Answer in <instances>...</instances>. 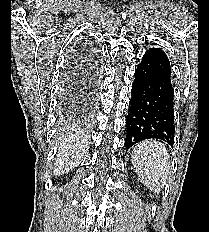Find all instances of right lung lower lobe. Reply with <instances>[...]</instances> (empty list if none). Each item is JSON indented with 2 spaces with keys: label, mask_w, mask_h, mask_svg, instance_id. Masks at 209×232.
<instances>
[{
  "label": "right lung lower lobe",
  "mask_w": 209,
  "mask_h": 232,
  "mask_svg": "<svg viewBox=\"0 0 209 232\" xmlns=\"http://www.w3.org/2000/svg\"><path fill=\"white\" fill-rule=\"evenodd\" d=\"M96 52L94 49L81 46L72 55L71 62L75 64L80 70L84 68L83 76L86 79H91L94 73L93 67L95 66ZM89 77V78H87Z\"/></svg>",
  "instance_id": "right-lung-lower-lobe-1"
}]
</instances>
